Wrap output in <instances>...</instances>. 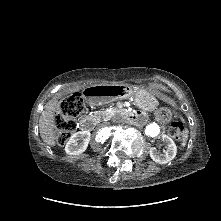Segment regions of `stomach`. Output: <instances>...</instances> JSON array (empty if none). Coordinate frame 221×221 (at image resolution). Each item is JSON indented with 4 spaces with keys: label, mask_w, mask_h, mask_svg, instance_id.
I'll return each mask as SVG.
<instances>
[{
    "label": "stomach",
    "mask_w": 221,
    "mask_h": 221,
    "mask_svg": "<svg viewBox=\"0 0 221 221\" xmlns=\"http://www.w3.org/2000/svg\"><path fill=\"white\" fill-rule=\"evenodd\" d=\"M129 96L136 104L143 108H152L155 105V97L152 92L146 89H133L129 91Z\"/></svg>",
    "instance_id": "1"
}]
</instances>
